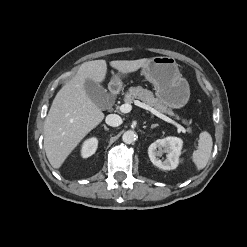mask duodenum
<instances>
[{
    "mask_svg": "<svg viewBox=\"0 0 247 247\" xmlns=\"http://www.w3.org/2000/svg\"><path fill=\"white\" fill-rule=\"evenodd\" d=\"M116 95V92L115 91H112V97L114 98Z\"/></svg>",
    "mask_w": 247,
    "mask_h": 247,
    "instance_id": "1",
    "label": "duodenum"
}]
</instances>
